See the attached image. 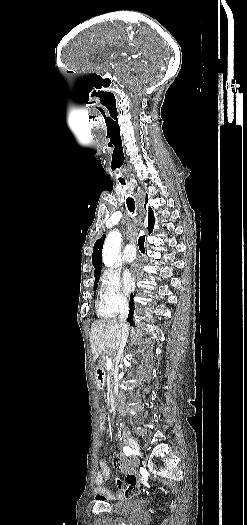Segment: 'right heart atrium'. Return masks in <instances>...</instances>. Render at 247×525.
<instances>
[{
  "label": "right heart atrium",
  "mask_w": 247,
  "mask_h": 525,
  "mask_svg": "<svg viewBox=\"0 0 247 525\" xmlns=\"http://www.w3.org/2000/svg\"><path fill=\"white\" fill-rule=\"evenodd\" d=\"M98 306L105 316H114L127 306V294L123 290L119 274L106 269L100 276Z\"/></svg>",
  "instance_id": "d8ad5b80"
}]
</instances>
